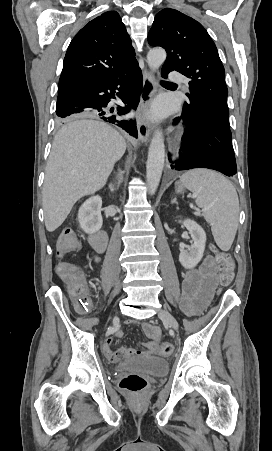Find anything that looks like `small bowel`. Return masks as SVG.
I'll use <instances>...</instances> for the list:
<instances>
[{
	"label": "small bowel",
	"instance_id": "small-bowel-1",
	"mask_svg": "<svg viewBox=\"0 0 272 451\" xmlns=\"http://www.w3.org/2000/svg\"><path fill=\"white\" fill-rule=\"evenodd\" d=\"M92 262L97 265L100 262V256L98 254L92 255ZM216 258L213 256H206L201 265L195 269H188L182 273V298L181 307L190 315L198 314L204 307L207 298L204 295V282L206 277L215 274L216 271ZM143 330L151 338V341L143 344L144 351H155V348L160 342L159 330L148 324L143 325ZM112 339L108 338L103 344V353L107 360L110 362H118L110 360L111 352H122L125 357L139 353V351L131 348L121 347L115 351L111 350Z\"/></svg>",
	"mask_w": 272,
	"mask_h": 451
}]
</instances>
